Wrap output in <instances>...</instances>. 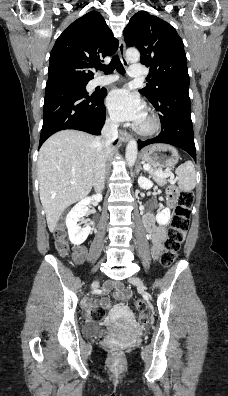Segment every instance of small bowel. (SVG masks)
<instances>
[{"instance_id": "small-bowel-1", "label": "small bowel", "mask_w": 228, "mask_h": 396, "mask_svg": "<svg viewBox=\"0 0 228 396\" xmlns=\"http://www.w3.org/2000/svg\"><path fill=\"white\" fill-rule=\"evenodd\" d=\"M147 221H153L152 217H148L146 219ZM155 225V224H154ZM147 227V225H146ZM148 231V230H147ZM152 240H153V252L154 254L158 255L162 252L163 247H162V240L165 237V227H157V230L155 231L154 235L151 236ZM85 254V248L83 246H77L75 249V254H74V259L76 261H80L82 259V257ZM113 286L115 287V297L118 300H127L128 298H130L131 293L128 290H125L123 288V285L120 283H117L115 285H113L111 282H107L104 286V292H109L111 291V289L113 288ZM98 302L96 300L91 301L88 305V312H90V309L93 308L94 306H96ZM100 304L102 305L103 308L109 309L111 308V302L107 297H104L101 299ZM117 310H126L125 307L121 306L118 307Z\"/></svg>"}]
</instances>
